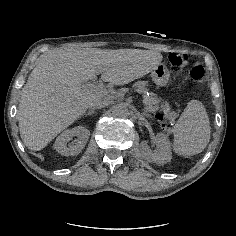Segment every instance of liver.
Masks as SVG:
<instances>
[{
  "mask_svg": "<svg viewBox=\"0 0 236 236\" xmlns=\"http://www.w3.org/2000/svg\"><path fill=\"white\" fill-rule=\"evenodd\" d=\"M148 50L67 48L38 58L22 88L18 109L20 136L33 151L45 148L61 131L105 95L83 90L81 84L96 80L128 84L148 73L141 66Z\"/></svg>",
  "mask_w": 236,
  "mask_h": 236,
  "instance_id": "6515ba94",
  "label": "liver"
}]
</instances>
